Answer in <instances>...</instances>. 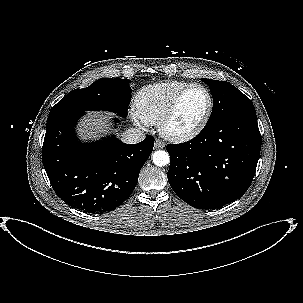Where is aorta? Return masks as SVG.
<instances>
[{
    "label": "aorta",
    "mask_w": 303,
    "mask_h": 303,
    "mask_svg": "<svg viewBox=\"0 0 303 303\" xmlns=\"http://www.w3.org/2000/svg\"><path fill=\"white\" fill-rule=\"evenodd\" d=\"M152 161L156 166L162 167L170 162V156L166 151L158 150L152 155Z\"/></svg>",
    "instance_id": "obj_1"
}]
</instances>
